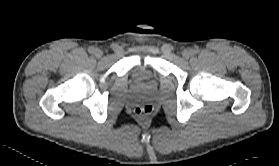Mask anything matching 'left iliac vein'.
<instances>
[{
    "instance_id": "1",
    "label": "left iliac vein",
    "mask_w": 279,
    "mask_h": 166,
    "mask_svg": "<svg viewBox=\"0 0 279 166\" xmlns=\"http://www.w3.org/2000/svg\"><path fill=\"white\" fill-rule=\"evenodd\" d=\"M192 55V52L190 50H184L182 52V56L185 58V59H188L190 56Z\"/></svg>"
}]
</instances>
